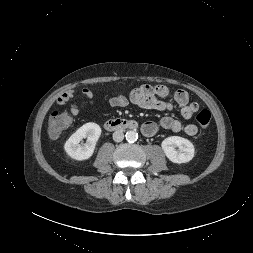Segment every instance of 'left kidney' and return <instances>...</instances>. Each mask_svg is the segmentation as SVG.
Wrapping results in <instances>:
<instances>
[{"mask_svg":"<svg viewBox=\"0 0 253 253\" xmlns=\"http://www.w3.org/2000/svg\"><path fill=\"white\" fill-rule=\"evenodd\" d=\"M161 146L166 157L173 163H186L194 157L195 147L188 139L179 136L167 137Z\"/></svg>","mask_w":253,"mask_h":253,"instance_id":"5707ae66","label":"left kidney"}]
</instances>
